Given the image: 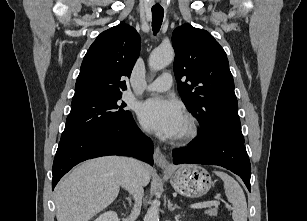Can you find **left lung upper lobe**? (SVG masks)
I'll return each instance as SVG.
<instances>
[{"instance_id":"obj_1","label":"left lung upper lobe","mask_w":307,"mask_h":221,"mask_svg":"<svg viewBox=\"0 0 307 221\" xmlns=\"http://www.w3.org/2000/svg\"><path fill=\"white\" fill-rule=\"evenodd\" d=\"M172 43L178 91L199 121L201 135L222 134L244 142L234 81L223 48L209 32L188 24L174 30Z\"/></svg>"}]
</instances>
